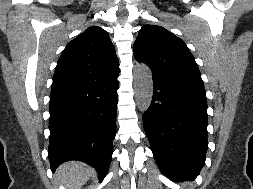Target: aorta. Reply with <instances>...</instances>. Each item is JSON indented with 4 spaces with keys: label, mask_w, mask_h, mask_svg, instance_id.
<instances>
[{
    "label": "aorta",
    "mask_w": 253,
    "mask_h": 189,
    "mask_svg": "<svg viewBox=\"0 0 253 189\" xmlns=\"http://www.w3.org/2000/svg\"><path fill=\"white\" fill-rule=\"evenodd\" d=\"M135 98L138 109L147 111L153 96L152 72L145 64H138L134 69Z\"/></svg>",
    "instance_id": "aorta-1"
}]
</instances>
